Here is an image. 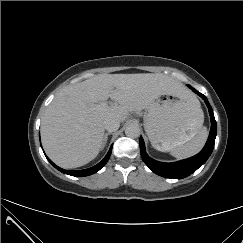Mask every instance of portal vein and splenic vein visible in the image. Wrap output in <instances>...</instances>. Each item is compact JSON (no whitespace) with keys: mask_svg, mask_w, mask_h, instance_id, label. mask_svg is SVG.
<instances>
[{"mask_svg":"<svg viewBox=\"0 0 243 243\" xmlns=\"http://www.w3.org/2000/svg\"><path fill=\"white\" fill-rule=\"evenodd\" d=\"M109 107V104L107 102H102L98 105L99 109H107Z\"/></svg>","mask_w":243,"mask_h":243,"instance_id":"1","label":"portal vein and splenic vein"}]
</instances>
